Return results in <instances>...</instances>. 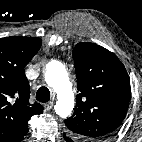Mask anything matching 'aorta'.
Here are the masks:
<instances>
[{"mask_svg": "<svg viewBox=\"0 0 142 142\" xmlns=\"http://www.w3.org/2000/svg\"><path fill=\"white\" fill-rule=\"evenodd\" d=\"M44 78L57 95L56 114L66 118L74 108V94L65 66L59 61L49 62L45 68Z\"/></svg>", "mask_w": 142, "mask_h": 142, "instance_id": "obj_1", "label": "aorta"}]
</instances>
